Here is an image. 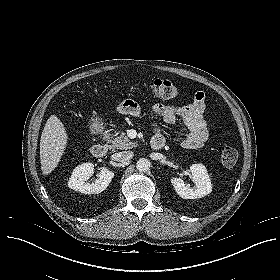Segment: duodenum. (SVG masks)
I'll return each instance as SVG.
<instances>
[{
    "label": "duodenum",
    "mask_w": 280,
    "mask_h": 280,
    "mask_svg": "<svg viewBox=\"0 0 280 280\" xmlns=\"http://www.w3.org/2000/svg\"><path fill=\"white\" fill-rule=\"evenodd\" d=\"M165 142L162 137H153L151 140V147L154 150H160L164 147ZM108 147L103 142H97L92 145L91 152L93 157L95 158H102L107 154Z\"/></svg>",
    "instance_id": "410a0bca"
}]
</instances>
